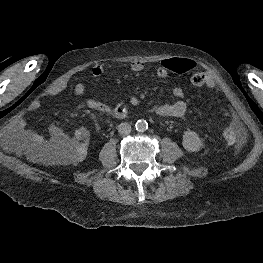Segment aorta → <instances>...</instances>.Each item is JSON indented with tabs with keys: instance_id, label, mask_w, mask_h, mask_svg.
I'll return each mask as SVG.
<instances>
[{
	"instance_id": "obj_1",
	"label": "aorta",
	"mask_w": 263,
	"mask_h": 263,
	"mask_svg": "<svg viewBox=\"0 0 263 263\" xmlns=\"http://www.w3.org/2000/svg\"><path fill=\"white\" fill-rule=\"evenodd\" d=\"M135 128L137 131L139 132H144L148 129V123L146 120L144 119H140L136 122L135 124Z\"/></svg>"
}]
</instances>
